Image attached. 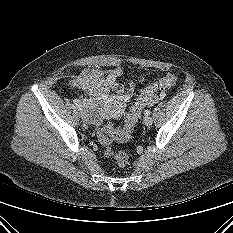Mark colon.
<instances>
[{
  "instance_id": "5ec220e1",
  "label": "colon",
  "mask_w": 233,
  "mask_h": 233,
  "mask_svg": "<svg viewBox=\"0 0 233 233\" xmlns=\"http://www.w3.org/2000/svg\"><path fill=\"white\" fill-rule=\"evenodd\" d=\"M176 82L177 77L173 74H168L154 82L137 95L135 101L131 104L128 116L122 128L104 125L98 130V140L104 148V155L114 159L120 168L127 166L129 158L123 151L114 152L112 150V140L119 142L130 141L133 137L136 125L141 119L144 107L161 99L162 92L174 86Z\"/></svg>"
}]
</instances>
